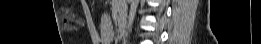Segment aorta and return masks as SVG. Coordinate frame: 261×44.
<instances>
[{
  "instance_id": "1",
  "label": "aorta",
  "mask_w": 261,
  "mask_h": 44,
  "mask_svg": "<svg viewBox=\"0 0 261 44\" xmlns=\"http://www.w3.org/2000/svg\"><path fill=\"white\" fill-rule=\"evenodd\" d=\"M138 2H139V0H131L130 11H129V15H128V25H127V29L129 32L131 31L132 24H133L135 15H136Z\"/></svg>"
}]
</instances>
